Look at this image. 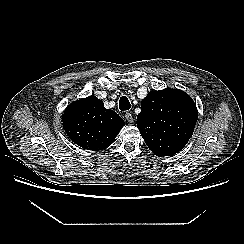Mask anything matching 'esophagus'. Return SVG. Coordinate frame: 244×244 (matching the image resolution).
Wrapping results in <instances>:
<instances>
[{
  "instance_id": "34e87169",
  "label": "esophagus",
  "mask_w": 244,
  "mask_h": 244,
  "mask_svg": "<svg viewBox=\"0 0 244 244\" xmlns=\"http://www.w3.org/2000/svg\"><path fill=\"white\" fill-rule=\"evenodd\" d=\"M125 119L129 122V123H133V121H134V118H133V116H132V114H130V113H125Z\"/></svg>"
}]
</instances>
